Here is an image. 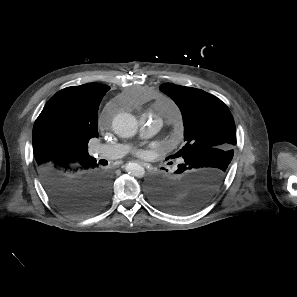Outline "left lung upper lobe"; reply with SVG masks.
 I'll return each mask as SVG.
<instances>
[{"instance_id":"obj_1","label":"left lung upper lobe","mask_w":297,"mask_h":297,"mask_svg":"<svg viewBox=\"0 0 297 297\" xmlns=\"http://www.w3.org/2000/svg\"><path fill=\"white\" fill-rule=\"evenodd\" d=\"M160 90L181 110L185 145L174 158L189 171L218 173L224 181L234 154L236 129L228 107L217 97L196 88L165 83Z\"/></svg>"}]
</instances>
